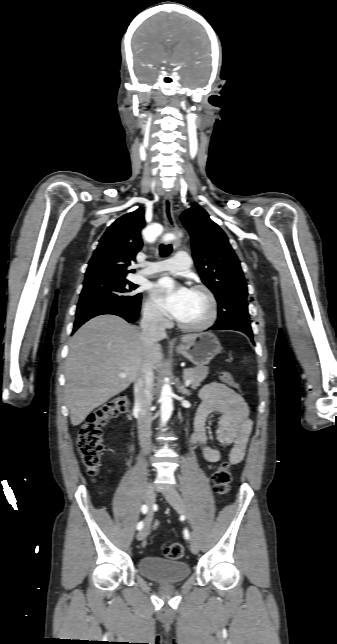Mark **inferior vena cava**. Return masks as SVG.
Here are the masks:
<instances>
[{
    "instance_id": "602c4592",
    "label": "inferior vena cava",
    "mask_w": 337,
    "mask_h": 644,
    "mask_svg": "<svg viewBox=\"0 0 337 644\" xmlns=\"http://www.w3.org/2000/svg\"><path fill=\"white\" fill-rule=\"evenodd\" d=\"M143 342L150 346L155 341L166 336L163 326V316L160 312L149 310L144 312L140 323ZM154 377L148 364L144 365L141 375L134 384L135 409L138 412V437L140 446L148 454L151 449V390Z\"/></svg>"
}]
</instances>
